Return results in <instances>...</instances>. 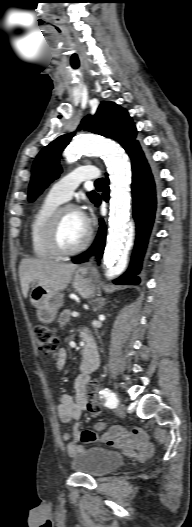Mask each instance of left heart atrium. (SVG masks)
Instances as JSON below:
<instances>
[{
	"label": "left heart atrium",
	"mask_w": 192,
	"mask_h": 527,
	"mask_svg": "<svg viewBox=\"0 0 192 527\" xmlns=\"http://www.w3.org/2000/svg\"><path fill=\"white\" fill-rule=\"evenodd\" d=\"M79 213V216L82 220V222L87 226L89 227V223H90V216L88 213L86 212H78Z\"/></svg>",
	"instance_id": "obj_1"
}]
</instances>
